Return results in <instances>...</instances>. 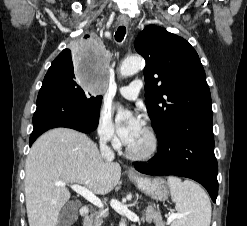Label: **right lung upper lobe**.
<instances>
[{"label":"right lung upper lobe","instance_id":"1","mask_svg":"<svg viewBox=\"0 0 247 226\" xmlns=\"http://www.w3.org/2000/svg\"><path fill=\"white\" fill-rule=\"evenodd\" d=\"M85 39H91L92 36L91 35H85L84 36ZM71 54V51L69 49H65L63 50L57 57L56 59L52 62V66H54L58 61L62 60V59H65V58H68L69 55Z\"/></svg>","mask_w":247,"mask_h":226}]
</instances>
